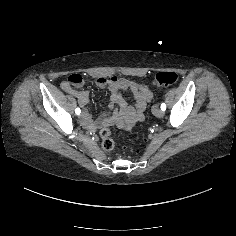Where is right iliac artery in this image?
<instances>
[{
    "instance_id": "obj_1",
    "label": "right iliac artery",
    "mask_w": 236,
    "mask_h": 236,
    "mask_svg": "<svg viewBox=\"0 0 236 236\" xmlns=\"http://www.w3.org/2000/svg\"><path fill=\"white\" fill-rule=\"evenodd\" d=\"M75 113H76L77 115H79V114L81 113L80 108H76V109H75Z\"/></svg>"
}]
</instances>
